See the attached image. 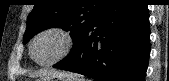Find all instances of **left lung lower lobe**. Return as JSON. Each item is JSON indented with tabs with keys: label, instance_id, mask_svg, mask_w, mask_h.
Instances as JSON below:
<instances>
[{
	"label": "left lung lower lobe",
	"instance_id": "0a47b994",
	"mask_svg": "<svg viewBox=\"0 0 169 81\" xmlns=\"http://www.w3.org/2000/svg\"><path fill=\"white\" fill-rule=\"evenodd\" d=\"M149 55L147 4L110 0L73 54L54 67L97 81H144Z\"/></svg>",
	"mask_w": 169,
	"mask_h": 81
}]
</instances>
